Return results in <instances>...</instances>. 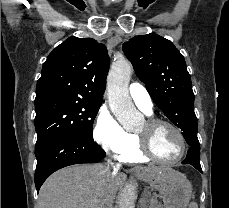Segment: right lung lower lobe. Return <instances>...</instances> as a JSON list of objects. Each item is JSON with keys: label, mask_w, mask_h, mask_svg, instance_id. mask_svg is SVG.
Segmentation results:
<instances>
[{"label": "right lung lower lobe", "mask_w": 229, "mask_h": 208, "mask_svg": "<svg viewBox=\"0 0 229 208\" xmlns=\"http://www.w3.org/2000/svg\"><path fill=\"white\" fill-rule=\"evenodd\" d=\"M35 155V186L38 192L44 181L58 169L79 163H97L105 157V152L91 139L62 133L35 147Z\"/></svg>", "instance_id": "obj_1"}]
</instances>
